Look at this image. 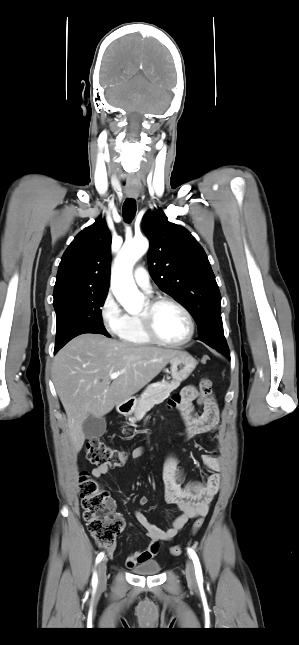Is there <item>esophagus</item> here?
Instances as JSON below:
<instances>
[{
    "label": "esophagus",
    "mask_w": 299,
    "mask_h": 645,
    "mask_svg": "<svg viewBox=\"0 0 299 645\" xmlns=\"http://www.w3.org/2000/svg\"><path fill=\"white\" fill-rule=\"evenodd\" d=\"M130 198H136V195H129Z\"/></svg>",
    "instance_id": "1"
}]
</instances>
